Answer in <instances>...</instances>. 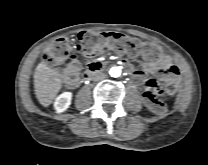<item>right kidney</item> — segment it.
Here are the masks:
<instances>
[{
  "mask_svg": "<svg viewBox=\"0 0 208 165\" xmlns=\"http://www.w3.org/2000/svg\"><path fill=\"white\" fill-rule=\"evenodd\" d=\"M71 99H72L71 92H64L61 95H59L54 102V108H55L56 112L62 113L65 110H67V108L71 104Z\"/></svg>",
  "mask_w": 208,
  "mask_h": 165,
  "instance_id": "right-kidney-1",
  "label": "right kidney"
}]
</instances>
